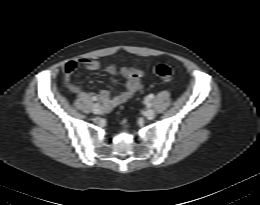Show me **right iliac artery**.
Here are the masks:
<instances>
[{
  "label": "right iliac artery",
  "instance_id": "82829eb1",
  "mask_svg": "<svg viewBox=\"0 0 260 205\" xmlns=\"http://www.w3.org/2000/svg\"><path fill=\"white\" fill-rule=\"evenodd\" d=\"M93 100H94V101H97L98 99H97V97H96V96H94V97H93Z\"/></svg>",
  "mask_w": 260,
  "mask_h": 205
}]
</instances>
